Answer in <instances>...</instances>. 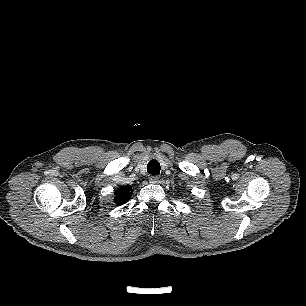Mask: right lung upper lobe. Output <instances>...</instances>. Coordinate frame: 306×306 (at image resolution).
<instances>
[{
	"label": "right lung upper lobe",
	"mask_w": 306,
	"mask_h": 306,
	"mask_svg": "<svg viewBox=\"0 0 306 306\" xmlns=\"http://www.w3.org/2000/svg\"><path fill=\"white\" fill-rule=\"evenodd\" d=\"M131 187L128 186H122L118 190L115 191V197L114 201L117 203V205H122L126 203L131 196Z\"/></svg>",
	"instance_id": "1"
}]
</instances>
